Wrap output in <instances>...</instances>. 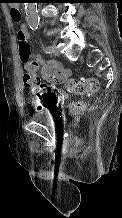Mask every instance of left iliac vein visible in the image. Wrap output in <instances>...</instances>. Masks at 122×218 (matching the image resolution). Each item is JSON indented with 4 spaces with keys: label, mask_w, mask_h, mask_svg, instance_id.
Here are the masks:
<instances>
[{
    "label": "left iliac vein",
    "mask_w": 122,
    "mask_h": 218,
    "mask_svg": "<svg viewBox=\"0 0 122 218\" xmlns=\"http://www.w3.org/2000/svg\"><path fill=\"white\" fill-rule=\"evenodd\" d=\"M52 49H53L52 53H53L55 56H59V55H60V53H59V51H58V49L56 48L55 45H52Z\"/></svg>",
    "instance_id": "1"
}]
</instances>
